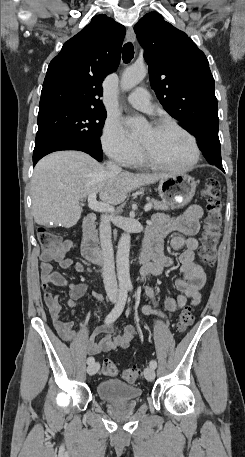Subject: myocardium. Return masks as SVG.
I'll return each instance as SVG.
<instances>
[{
    "mask_svg": "<svg viewBox=\"0 0 245 457\" xmlns=\"http://www.w3.org/2000/svg\"><path fill=\"white\" fill-rule=\"evenodd\" d=\"M152 128L154 130H157V131H160V130H163V129H167V128H174V129H177L180 132H182L190 141V148H191V151H192V158H191L190 162L188 164H186V165H183V166H170V165L164 164L161 161H159V160L147 155L143 151V149L137 144V153H138L140 159L144 163H146L148 166H150L152 168L171 171V172H174V171L185 172V171H188V170L192 169L196 165V163L199 160L200 152H199V149H198V146H197V141H196L195 137L189 131H187L185 128L180 126L178 123H176L175 121H172L170 119H162V120L156 122L152 126Z\"/></svg>",
    "mask_w": 245,
    "mask_h": 457,
    "instance_id": "myocardium-1",
    "label": "myocardium"
}]
</instances>
